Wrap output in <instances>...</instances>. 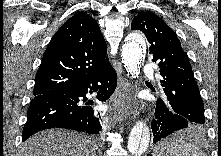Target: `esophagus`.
<instances>
[{"label":"esophagus","mask_w":221,"mask_h":156,"mask_svg":"<svg viewBox=\"0 0 221 156\" xmlns=\"http://www.w3.org/2000/svg\"><path fill=\"white\" fill-rule=\"evenodd\" d=\"M131 97V83L125 77H120L116 96L113 102V120L122 123L128 115V104Z\"/></svg>","instance_id":"34e87169"}]
</instances>
